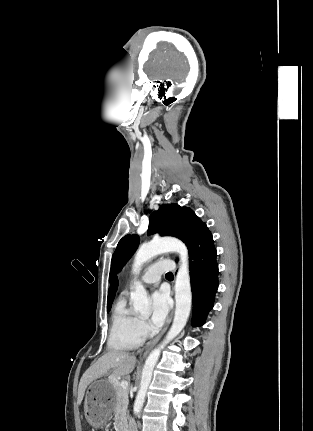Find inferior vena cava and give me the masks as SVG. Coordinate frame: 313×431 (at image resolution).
Masks as SVG:
<instances>
[{
	"label": "inferior vena cava",
	"mask_w": 313,
	"mask_h": 431,
	"mask_svg": "<svg viewBox=\"0 0 313 431\" xmlns=\"http://www.w3.org/2000/svg\"><path fill=\"white\" fill-rule=\"evenodd\" d=\"M129 431H137V426H136V423H135V421L133 419L130 420Z\"/></svg>",
	"instance_id": "602c4592"
}]
</instances>
